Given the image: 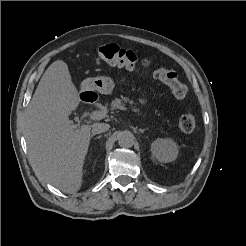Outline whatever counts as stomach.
<instances>
[{
    "mask_svg": "<svg viewBox=\"0 0 246 246\" xmlns=\"http://www.w3.org/2000/svg\"><path fill=\"white\" fill-rule=\"evenodd\" d=\"M114 87V80L108 76L87 78L81 83L82 92L92 91L101 94H110Z\"/></svg>",
    "mask_w": 246,
    "mask_h": 246,
    "instance_id": "obj_1",
    "label": "stomach"
}]
</instances>
